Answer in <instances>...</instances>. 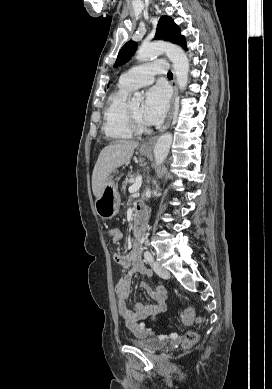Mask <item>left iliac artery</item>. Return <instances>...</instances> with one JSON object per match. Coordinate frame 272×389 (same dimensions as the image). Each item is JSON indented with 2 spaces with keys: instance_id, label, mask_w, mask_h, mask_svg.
Wrapping results in <instances>:
<instances>
[{
  "instance_id": "1",
  "label": "left iliac artery",
  "mask_w": 272,
  "mask_h": 389,
  "mask_svg": "<svg viewBox=\"0 0 272 389\" xmlns=\"http://www.w3.org/2000/svg\"><path fill=\"white\" fill-rule=\"evenodd\" d=\"M144 257H145V259H146L148 262H152V261H153V256H152V254H151L149 251H145Z\"/></svg>"
}]
</instances>
